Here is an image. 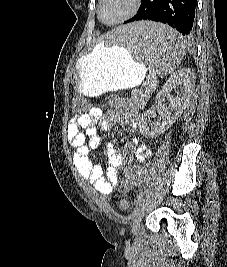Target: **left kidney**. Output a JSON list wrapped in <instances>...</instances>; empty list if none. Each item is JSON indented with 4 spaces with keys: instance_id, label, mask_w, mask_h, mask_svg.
Returning <instances> with one entry per match:
<instances>
[{
    "instance_id": "5707ae66",
    "label": "left kidney",
    "mask_w": 227,
    "mask_h": 267,
    "mask_svg": "<svg viewBox=\"0 0 227 267\" xmlns=\"http://www.w3.org/2000/svg\"><path fill=\"white\" fill-rule=\"evenodd\" d=\"M195 72L190 68H183L169 77L163 89L156 97V103H161L165 96H170L169 105L161 106L157 120L152 121L153 111L146 110L140 120V132L146 137H155L165 132L183 113L191 98L195 85ZM177 90V96L170 95Z\"/></svg>"
}]
</instances>
